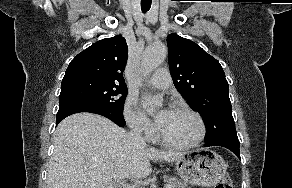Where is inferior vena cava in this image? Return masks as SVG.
Masks as SVG:
<instances>
[{"label":"inferior vena cava","mask_w":292,"mask_h":188,"mask_svg":"<svg viewBox=\"0 0 292 188\" xmlns=\"http://www.w3.org/2000/svg\"><path fill=\"white\" fill-rule=\"evenodd\" d=\"M130 128H131V130L128 133V137L131 140V142L137 146H145L146 143L142 137L141 123L136 121V122L131 124Z\"/></svg>","instance_id":"obj_1"}]
</instances>
